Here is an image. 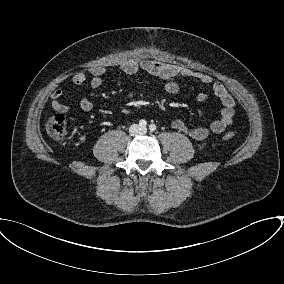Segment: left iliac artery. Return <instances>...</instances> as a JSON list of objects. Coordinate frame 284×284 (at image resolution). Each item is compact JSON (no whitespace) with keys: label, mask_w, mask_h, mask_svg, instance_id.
<instances>
[{"label":"left iliac artery","mask_w":284,"mask_h":284,"mask_svg":"<svg viewBox=\"0 0 284 284\" xmlns=\"http://www.w3.org/2000/svg\"><path fill=\"white\" fill-rule=\"evenodd\" d=\"M149 130H150L151 132L155 131V130H156V125H155V124H151V125L149 126Z\"/></svg>","instance_id":"44dca946"}]
</instances>
